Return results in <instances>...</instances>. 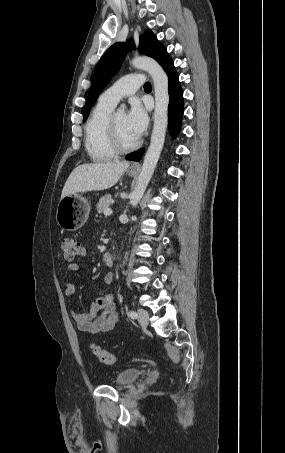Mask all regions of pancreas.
Returning <instances> with one entry per match:
<instances>
[{"label":"pancreas","instance_id":"obj_1","mask_svg":"<svg viewBox=\"0 0 285 453\" xmlns=\"http://www.w3.org/2000/svg\"><path fill=\"white\" fill-rule=\"evenodd\" d=\"M111 200H112V198L110 195H105L102 198H100L97 203L98 213L104 212L105 209H108L110 206Z\"/></svg>","mask_w":285,"mask_h":453}]
</instances>
